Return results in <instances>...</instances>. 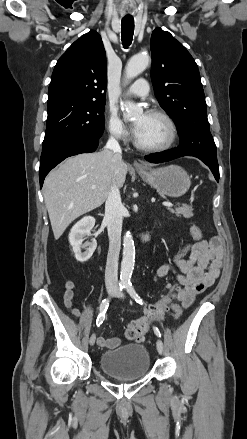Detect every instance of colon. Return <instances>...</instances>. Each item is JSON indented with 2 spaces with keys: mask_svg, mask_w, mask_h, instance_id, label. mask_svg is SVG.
Wrapping results in <instances>:
<instances>
[{
  "mask_svg": "<svg viewBox=\"0 0 247 439\" xmlns=\"http://www.w3.org/2000/svg\"><path fill=\"white\" fill-rule=\"evenodd\" d=\"M190 233L196 242L202 240V232L198 226L192 225L190 227ZM178 289L179 287L177 285H169L168 293L155 303L143 317L134 320L127 325L125 332L126 338L129 340L142 338L148 331L152 321H159L165 316L166 312L173 304L172 295L177 292Z\"/></svg>",
  "mask_w": 247,
  "mask_h": 439,
  "instance_id": "1",
  "label": "colon"
}]
</instances>
